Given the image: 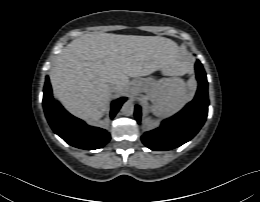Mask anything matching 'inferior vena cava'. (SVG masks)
Here are the masks:
<instances>
[{
	"instance_id": "602c4592",
	"label": "inferior vena cava",
	"mask_w": 260,
	"mask_h": 202,
	"mask_svg": "<svg viewBox=\"0 0 260 202\" xmlns=\"http://www.w3.org/2000/svg\"><path fill=\"white\" fill-rule=\"evenodd\" d=\"M118 89H119V87H118L117 85H113V86L111 87V90H112L113 92L117 91Z\"/></svg>"
}]
</instances>
